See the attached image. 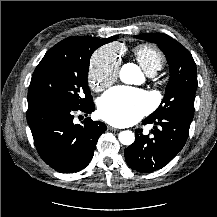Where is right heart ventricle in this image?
I'll return each mask as SVG.
<instances>
[{"label":"right heart ventricle","instance_id":"right-heart-ventricle-1","mask_svg":"<svg viewBox=\"0 0 217 217\" xmlns=\"http://www.w3.org/2000/svg\"><path fill=\"white\" fill-rule=\"evenodd\" d=\"M133 56L148 74H155L164 65L163 54L150 44H140L133 49Z\"/></svg>","mask_w":217,"mask_h":217}]
</instances>
